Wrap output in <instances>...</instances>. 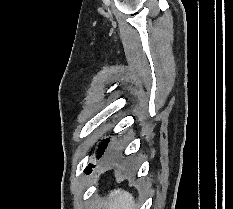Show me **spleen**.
Wrapping results in <instances>:
<instances>
[{"instance_id":"spleen-1","label":"spleen","mask_w":233,"mask_h":209,"mask_svg":"<svg viewBox=\"0 0 233 209\" xmlns=\"http://www.w3.org/2000/svg\"><path fill=\"white\" fill-rule=\"evenodd\" d=\"M103 206L105 209H137L132 194L121 189L112 191Z\"/></svg>"}]
</instances>
